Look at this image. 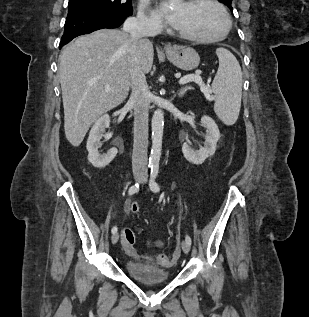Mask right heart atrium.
<instances>
[{
	"label": "right heart atrium",
	"mask_w": 309,
	"mask_h": 317,
	"mask_svg": "<svg viewBox=\"0 0 309 317\" xmlns=\"http://www.w3.org/2000/svg\"><path fill=\"white\" fill-rule=\"evenodd\" d=\"M138 24L147 31H156L162 27L160 18L152 13L146 11V3L143 2L140 5L138 14H137Z\"/></svg>",
	"instance_id": "obj_1"
}]
</instances>
